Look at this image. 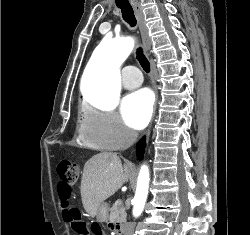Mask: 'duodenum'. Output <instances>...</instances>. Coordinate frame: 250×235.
Returning a JSON list of instances; mask_svg holds the SVG:
<instances>
[{"label":"duodenum","instance_id":"410a0bca","mask_svg":"<svg viewBox=\"0 0 250 235\" xmlns=\"http://www.w3.org/2000/svg\"><path fill=\"white\" fill-rule=\"evenodd\" d=\"M112 231H113V233H114L115 235H122L121 229H120V227H118V226L113 227V228H112Z\"/></svg>","mask_w":250,"mask_h":235}]
</instances>
